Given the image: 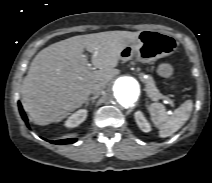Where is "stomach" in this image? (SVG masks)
<instances>
[{
  "label": "stomach",
  "mask_w": 212,
  "mask_h": 183,
  "mask_svg": "<svg viewBox=\"0 0 212 183\" xmlns=\"http://www.w3.org/2000/svg\"><path fill=\"white\" fill-rule=\"evenodd\" d=\"M178 42L170 34L156 30H143L137 39L126 46L121 52V60H129L135 56L142 63H150L169 56L177 50ZM158 75L169 78L174 68L169 63H161L156 69Z\"/></svg>",
  "instance_id": "0dacf381"
}]
</instances>
